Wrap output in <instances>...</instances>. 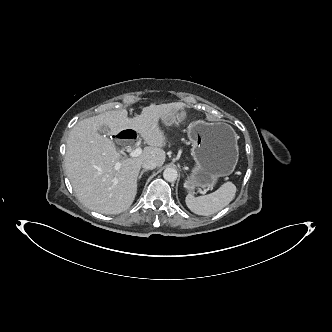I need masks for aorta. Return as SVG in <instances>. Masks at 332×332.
<instances>
[{"mask_svg":"<svg viewBox=\"0 0 332 332\" xmlns=\"http://www.w3.org/2000/svg\"><path fill=\"white\" fill-rule=\"evenodd\" d=\"M178 172L174 168H166L163 171V178L168 182H174L177 180Z\"/></svg>","mask_w":332,"mask_h":332,"instance_id":"obj_1","label":"aorta"}]
</instances>
